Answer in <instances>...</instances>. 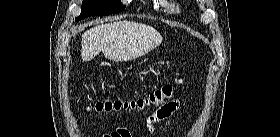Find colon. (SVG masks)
Wrapping results in <instances>:
<instances>
[{
	"label": "colon",
	"instance_id": "obj_1",
	"mask_svg": "<svg viewBox=\"0 0 280 137\" xmlns=\"http://www.w3.org/2000/svg\"><path fill=\"white\" fill-rule=\"evenodd\" d=\"M174 93L175 86L172 84H166L144 97L128 100H100L94 104L93 108L95 111L100 113L143 111L150 107L159 106L164 101L170 99L174 95Z\"/></svg>",
	"mask_w": 280,
	"mask_h": 137
}]
</instances>
